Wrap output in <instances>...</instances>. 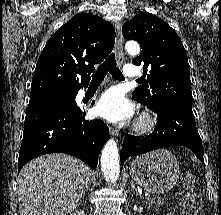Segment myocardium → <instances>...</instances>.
<instances>
[{
  "instance_id": "myocardium-1",
  "label": "myocardium",
  "mask_w": 221,
  "mask_h": 215,
  "mask_svg": "<svg viewBox=\"0 0 221 215\" xmlns=\"http://www.w3.org/2000/svg\"><path fill=\"white\" fill-rule=\"evenodd\" d=\"M156 125V118L151 112H143L135 124V131L143 134L151 131Z\"/></svg>"
}]
</instances>
